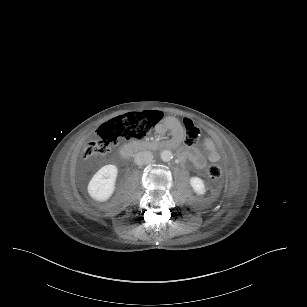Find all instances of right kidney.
Wrapping results in <instances>:
<instances>
[{
  "instance_id": "ca27d5eb",
  "label": "right kidney",
  "mask_w": 307,
  "mask_h": 307,
  "mask_svg": "<svg viewBox=\"0 0 307 307\" xmlns=\"http://www.w3.org/2000/svg\"><path fill=\"white\" fill-rule=\"evenodd\" d=\"M118 168L108 164L99 169L90 180L87 191L89 196L97 202L108 201L115 192Z\"/></svg>"
}]
</instances>
